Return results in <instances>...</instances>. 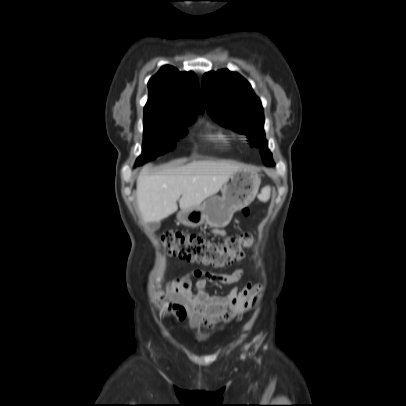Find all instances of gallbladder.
<instances>
[{"label": "gallbladder", "mask_w": 406, "mask_h": 406, "mask_svg": "<svg viewBox=\"0 0 406 406\" xmlns=\"http://www.w3.org/2000/svg\"><path fill=\"white\" fill-rule=\"evenodd\" d=\"M149 227L153 231L158 230L160 228V223L159 222H152V223L149 224Z\"/></svg>", "instance_id": "1"}]
</instances>
